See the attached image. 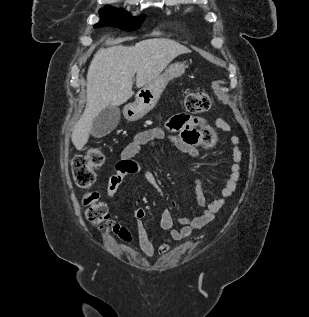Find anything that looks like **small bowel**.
<instances>
[{"instance_id": "1", "label": "small bowel", "mask_w": 309, "mask_h": 317, "mask_svg": "<svg viewBox=\"0 0 309 317\" xmlns=\"http://www.w3.org/2000/svg\"><path fill=\"white\" fill-rule=\"evenodd\" d=\"M204 122L203 118L180 113L171 116L166 121L164 127H156L138 133L121 151L116 172L110 176L107 183V196L110 198L114 197L125 176L139 171V166L134 158L146 147L156 148L170 144L177 151L193 159L197 158L199 155L198 148L203 144V139L198 128ZM215 124L224 132L231 131L230 125L223 119H217ZM230 143L232 146V163L229 165V175L221 190L220 197L207 201L203 192L202 181L197 179L196 203L198 207L204 208L203 212L193 219L185 216L178 217L177 223L180 225V228H174L172 212L170 209H167L161 218V228L169 231V236L157 248L150 241L142 223V219L145 217V210L138 208L134 211L139 246L148 258H153L156 254H167L173 243H181L194 230L209 224L214 219L216 213L225 205L226 199L234 194L241 175L242 152L239 148L240 139L237 136H232ZM144 176L151 183L155 182L153 175L149 171H145Z\"/></svg>"}]
</instances>
